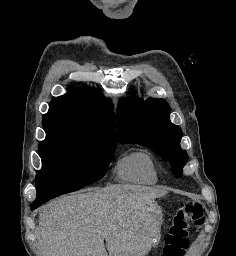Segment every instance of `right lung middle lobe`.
<instances>
[{"mask_svg": "<svg viewBox=\"0 0 236 256\" xmlns=\"http://www.w3.org/2000/svg\"><path fill=\"white\" fill-rule=\"evenodd\" d=\"M46 132L39 145L42 170L36 174L34 202L76 191L106 173L116 141L57 129Z\"/></svg>", "mask_w": 236, "mask_h": 256, "instance_id": "1", "label": "right lung middle lobe"}]
</instances>
